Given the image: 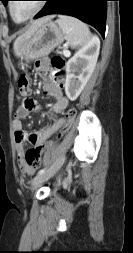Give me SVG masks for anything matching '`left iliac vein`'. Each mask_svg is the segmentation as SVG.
Wrapping results in <instances>:
<instances>
[{
	"label": "left iliac vein",
	"instance_id": "obj_1",
	"mask_svg": "<svg viewBox=\"0 0 133 253\" xmlns=\"http://www.w3.org/2000/svg\"><path fill=\"white\" fill-rule=\"evenodd\" d=\"M65 155L61 156L59 160L48 170H46L42 174H38L31 182V188H35L42 184L43 182L47 181L50 179L53 175L57 173V171L63 166L65 162Z\"/></svg>",
	"mask_w": 133,
	"mask_h": 253
}]
</instances>
